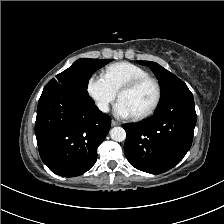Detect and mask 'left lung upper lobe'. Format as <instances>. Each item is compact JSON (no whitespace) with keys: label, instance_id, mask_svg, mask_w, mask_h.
<instances>
[{"label":"left lung upper lobe","instance_id":"5c2ea615","mask_svg":"<svg viewBox=\"0 0 224 224\" xmlns=\"http://www.w3.org/2000/svg\"><path fill=\"white\" fill-rule=\"evenodd\" d=\"M139 64L150 66L160 81L162 96L159 105L170 102L182 93H188L190 90L187 85L159 64L151 61H137Z\"/></svg>","mask_w":224,"mask_h":224}]
</instances>
